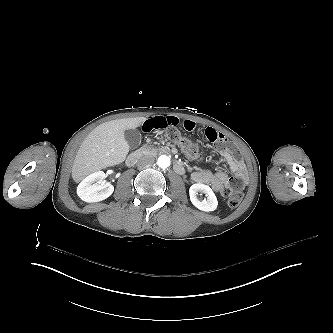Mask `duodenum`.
Segmentation results:
<instances>
[{"instance_id":"duodenum-1","label":"duodenum","mask_w":333,"mask_h":333,"mask_svg":"<svg viewBox=\"0 0 333 333\" xmlns=\"http://www.w3.org/2000/svg\"><path fill=\"white\" fill-rule=\"evenodd\" d=\"M142 155H143V152L141 150H137V151L130 153L126 158V164L128 166H134ZM174 169L179 174H182L184 172V167L179 162H176L174 164Z\"/></svg>"}]
</instances>
